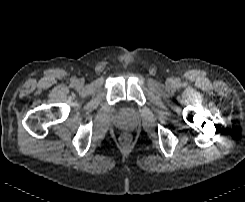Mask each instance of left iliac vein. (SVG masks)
<instances>
[{"label": "left iliac vein", "instance_id": "left-iliac-vein-1", "mask_svg": "<svg viewBox=\"0 0 245 202\" xmlns=\"http://www.w3.org/2000/svg\"><path fill=\"white\" fill-rule=\"evenodd\" d=\"M167 84H168V85H172V84H173V80H172V79H168V80H167Z\"/></svg>", "mask_w": 245, "mask_h": 202}]
</instances>
